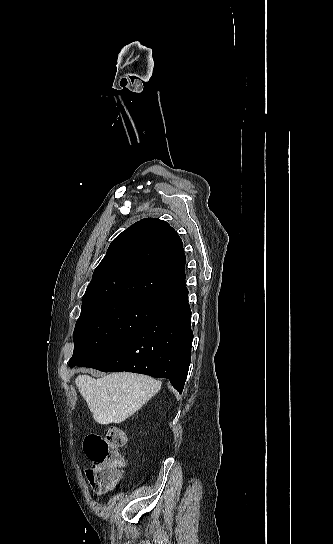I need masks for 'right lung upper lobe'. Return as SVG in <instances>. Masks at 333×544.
I'll return each mask as SVG.
<instances>
[{
	"mask_svg": "<svg viewBox=\"0 0 333 544\" xmlns=\"http://www.w3.org/2000/svg\"><path fill=\"white\" fill-rule=\"evenodd\" d=\"M182 241L165 221L146 218L110 244L82 302L142 295L171 302L188 294Z\"/></svg>",
	"mask_w": 333,
	"mask_h": 544,
	"instance_id": "1",
	"label": "right lung upper lobe"
}]
</instances>
